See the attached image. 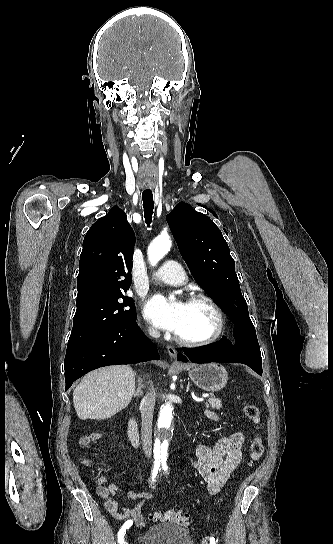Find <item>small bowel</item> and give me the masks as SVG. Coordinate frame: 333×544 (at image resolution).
<instances>
[{
    "label": "small bowel",
    "instance_id": "small-bowel-1",
    "mask_svg": "<svg viewBox=\"0 0 333 544\" xmlns=\"http://www.w3.org/2000/svg\"><path fill=\"white\" fill-rule=\"evenodd\" d=\"M207 416L212 420H217V416L213 412L208 411ZM243 443V432L236 431L219 438L212 447L204 442L197 445L195 449L196 460L193 466L206 482L209 494L219 493L236 469L242 457ZM105 482V477H100L97 480L96 492L99 497L104 499L106 511L117 520L131 521L135 526L142 527L144 525L142 509L146 502L154 497V493L152 491H123L117 484L104 485ZM121 492L129 500L137 501V504L133 508H121L114 499V496Z\"/></svg>",
    "mask_w": 333,
    "mask_h": 544
}]
</instances>
